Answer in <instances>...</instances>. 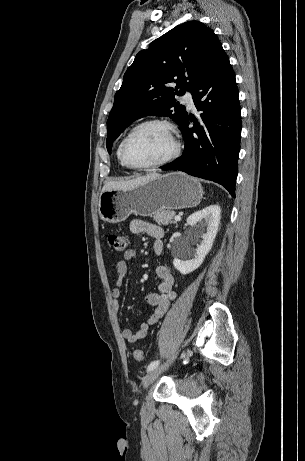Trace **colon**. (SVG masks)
<instances>
[{
	"mask_svg": "<svg viewBox=\"0 0 305 461\" xmlns=\"http://www.w3.org/2000/svg\"><path fill=\"white\" fill-rule=\"evenodd\" d=\"M108 243L115 253L122 254L127 247V238L125 235L112 233L108 236ZM132 355L134 360L138 362L145 359L144 352L138 348L133 350Z\"/></svg>",
	"mask_w": 305,
	"mask_h": 461,
	"instance_id": "1",
	"label": "colon"
}]
</instances>
